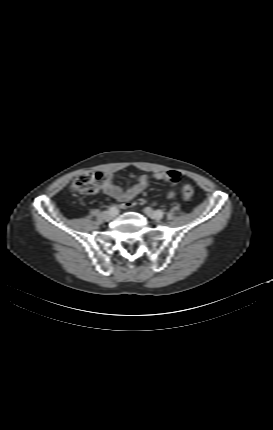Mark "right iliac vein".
Here are the masks:
<instances>
[{
    "label": "right iliac vein",
    "instance_id": "obj_1",
    "mask_svg": "<svg viewBox=\"0 0 273 430\" xmlns=\"http://www.w3.org/2000/svg\"><path fill=\"white\" fill-rule=\"evenodd\" d=\"M118 214V210H108L105 212L106 218H114Z\"/></svg>",
    "mask_w": 273,
    "mask_h": 430
}]
</instances>
